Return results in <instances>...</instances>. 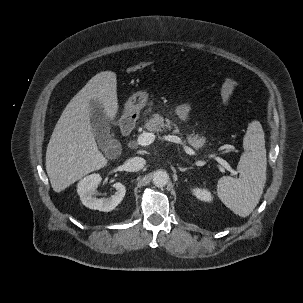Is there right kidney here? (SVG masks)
Returning a JSON list of instances; mask_svg holds the SVG:
<instances>
[{"mask_svg": "<svg viewBox=\"0 0 303 303\" xmlns=\"http://www.w3.org/2000/svg\"><path fill=\"white\" fill-rule=\"evenodd\" d=\"M101 181L102 178L99 174L86 176L79 181L77 192L84 206L94 210L109 212L115 209L123 200L126 188L122 183L117 182L113 184L116 190L114 195L110 198H96L97 187Z\"/></svg>", "mask_w": 303, "mask_h": 303, "instance_id": "right-kidney-1", "label": "right kidney"}]
</instances>
